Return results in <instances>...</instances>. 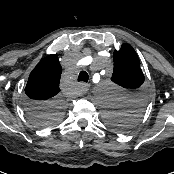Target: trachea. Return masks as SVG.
<instances>
[{
	"label": "trachea",
	"instance_id": "obj_1",
	"mask_svg": "<svg viewBox=\"0 0 174 174\" xmlns=\"http://www.w3.org/2000/svg\"><path fill=\"white\" fill-rule=\"evenodd\" d=\"M89 76L86 71H81L78 76V81L88 82Z\"/></svg>",
	"mask_w": 174,
	"mask_h": 174
}]
</instances>
